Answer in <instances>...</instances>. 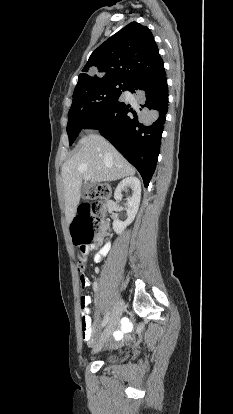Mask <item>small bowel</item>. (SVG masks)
<instances>
[{"label":"small bowel","mask_w":233,"mask_h":414,"mask_svg":"<svg viewBox=\"0 0 233 414\" xmlns=\"http://www.w3.org/2000/svg\"><path fill=\"white\" fill-rule=\"evenodd\" d=\"M97 250V251H95ZM108 246L107 244H104L100 246V242L97 241L94 244L87 246L84 250H82V253L85 256L90 255L93 253V260L95 262H99L102 257L107 253ZM79 279L78 282L81 284L82 292H85V290L89 289V286H91V278L88 277L86 274V271H81L79 273ZM92 302V299L90 296H82L80 300V307H81V328H82V336L83 339L89 343H92L94 340V329L92 328V320L89 314V306ZM132 328V323L129 320H125L121 323L120 330H117L115 332V339L117 341H121L124 337V334L129 332Z\"/></svg>","instance_id":"small-bowel-1"}]
</instances>
